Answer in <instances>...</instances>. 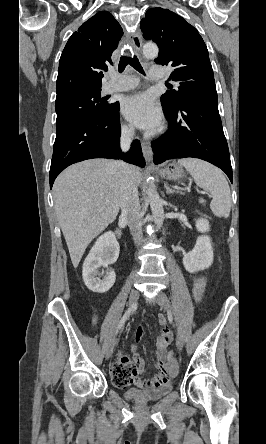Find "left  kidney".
Segmentation results:
<instances>
[{
	"mask_svg": "<svg viewBox=\"0 0 266 444\" xmlns=\"http://www.w3.org/2000/svg\"><path fill=\"white\" fill-rule=\"evenodd\" d=\"M196 229L200 233H206L210 230L209 222L205 218L196 220ZM213 263V249L211 238L207 235H201L197 238L195 247L192 251L183 257V265L190 272H198L209 268Z\"/></svg>",
	"mask_w": 266,
	"mask_h": 444,
	"instance_id": "5707ae66",
	"label": "left kidney"
}]
</instances>
